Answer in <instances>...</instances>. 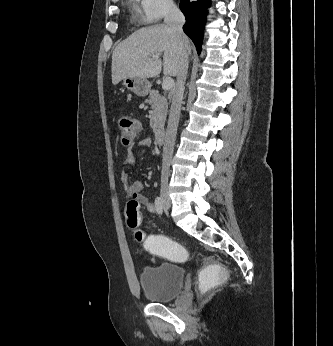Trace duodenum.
Instances as JSON below:
<instances>
[{"label":"duodenum","mask_w":333,"mask_h":346,"mask_svg":"<svg viewBox=\"0 0 333 346\" xmlns=\"http://www.w3.org/2000/svg\"><path fill=\"white\" fill-rule=\"evenodd\" d=\"M155 140L158 144H162L165 141V130L163 128H157L155 130Z\"/></svg>","instance_id":"duodenum-1"}]
</instances>
